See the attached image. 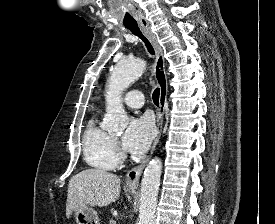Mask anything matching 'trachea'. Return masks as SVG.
<instances>
[{"instance_id": "3493384b", "label": "trachea", "mask_w": 275, "mask_h": 224, "mask_svg": "<svg viewBox=\"0 0 275 224\" xmlns=\"http://www.w3.org/2000/svg\"><path fill=\"white\" fill-rule=\"evenodd\" d=\"M127 28L136 36H138L144 43L145 46L148 49V52L150 54H154V48L152 44L149 42V40L142 34L140 28L138 25H132V26H127ZM159 96H160V90L159 88H156L152 94L153 102L156 106L159 105Z\"/></svg>"}]
</instances>
